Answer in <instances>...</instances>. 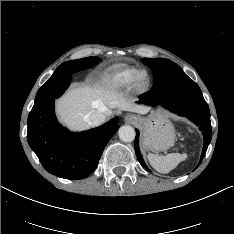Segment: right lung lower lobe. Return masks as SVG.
Listing matches in <instances>:
<instances>
[{
    "label": "right lung lower lobe",
    "instance_id": "98d812e1",
    "mask_svg": "<svg viewBox=\"0 0 234 234\" xmlns=\"http://www.w3.org/2000/svg\"><path fill=\"white\" fill-rule=\"evenodd\" d=\"M71 74L55 71L38 90L28 116L27 139L49 173L76 180L95 170L106 144L119 128V118L79 134L63 128L56 119L54 101L70 85Z\"/></svg>",
    "mask_w": 234,
    "mask_h": 234
}]
</instances>
